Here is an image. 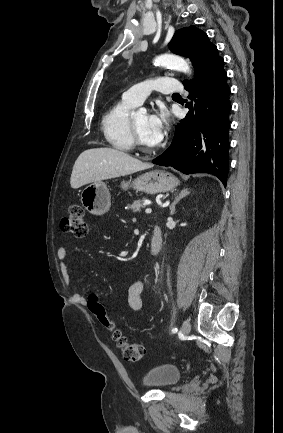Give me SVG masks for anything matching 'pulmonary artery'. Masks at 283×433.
Returning <instances> with one entry per match:
<instances>
[{
    "instance_id": "1",
    "label": "pulmonary artery",
    "mask_w": 283,
    "mask_h": 433,
    "mask_svg": "<svg viewBox=\"0 0 283 433\" xmlns=\"http://www.w3.org/2000/svg\"><path fill=\"white\" fill-rule=\"evenodd\" d=\"M154 85L155 90L158 92L185 93L184 84L179 83L177 78H161V74H156ZM152 88L151 80L138 83L124 93V99L133 105H139L150 94Z\"/></svg>"
}]
</instances>
